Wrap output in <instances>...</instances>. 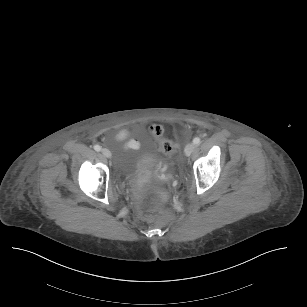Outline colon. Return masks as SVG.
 I'll return each instance as SVG.
<instances>
[{
	"label": "colon",
	"mask_w": 307,
	"mask_h": 307,
	"mask_svg": "<svg viewBox=\"0 0 307 307\" xmlns=\"http://www.w3.org/2000/svg\"><path fill=\"white\" fill-rule=\"evenodd\" d=\"M151 131L160 139V147L163 152L170 153L176 150L175 143L164 137L163 129L160 125L152 126ZM151 195L154 197L155 203L159 206H164L169 201V195L162 184H155L151 188Z\"/></svg>",
	"instance_id": "5ec220e1"
}]
</instances>
